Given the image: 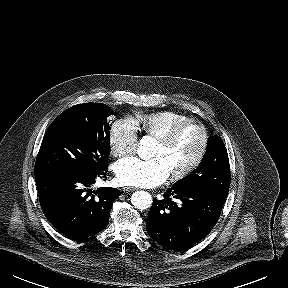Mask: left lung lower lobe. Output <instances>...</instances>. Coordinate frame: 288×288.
I'll list each match as a JSON object with an SVG mask.
<instances>
[{"label":"left lung lower lobe","instance_id":"left-lung-lower-lobe-1","mask_svg":"<svg viewBox=\"0 0 288 288\" xmlns=\"http://www.w3.org/2000/svg\"><path fill=\"white\" fill-rule=\"evenodd\" d=\"M164 199H154L146 230L161 246L184 250L201 241L213 229L226 197L197 189L173 185Z\"/></svg>","mask_w":288,"mask_h":288}]
</instances>
